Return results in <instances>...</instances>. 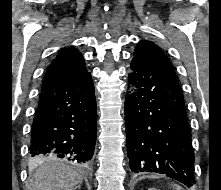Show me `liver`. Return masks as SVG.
Masks as SVG:
<instances>
[{"mask_svg":"<svg viewBox=\"0 0 221 190\" xmlns=\"http://www.w3.org/2000/svg\"><path fill=\"white\" fill-rule=\"evenodd\" d=\"M30 183L29 190H72L82 182V176L71 167L52 162H39Z\"/></svg>","mask_w":221,"mask_h":190,"instance_id":"obj_1","label":"liver"}]
</instances>
